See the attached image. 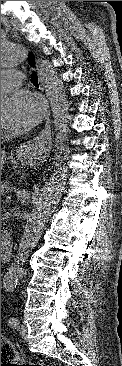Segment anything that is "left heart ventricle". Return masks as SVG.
Here are the masks:
<instances>
[{"label":"left heart ventricle","instance_id":"obj_1","mask_svg":"<svg viewBox=\"0 0 122 366\" xmlns=\"http://www.w3.org/2000/svg\"><path fill=\"white\" fill-rule=\"evenodd\" d=\"M5 116H6V110H2L1 111V128L5 127V125H4Z\"/></svg>","mask_w":122,"mask_h":366}]
</instances>
